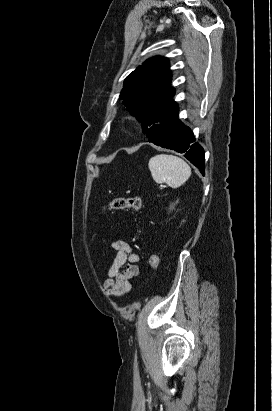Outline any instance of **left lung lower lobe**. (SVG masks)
I'll use <instances>...</instances> for the list:
<instances>
[{
	"label": "left lung lower lobe",
	"mask_w": 272,
	"mask_h": 411,
	"mask_svg": "<svg viewBox=\"0 0 272 411\" xmlns=\"http://www.w3.org/2000/svg\"><path fill=\"white\" fill-rule=\"evenodd\" d=\"M195 141L190 128L178 119V113L149 137V142L157 146L184 153V156L204 175V150Z\"/></svg>",
	"instance_id": "obj_1"
}]
</instances>
